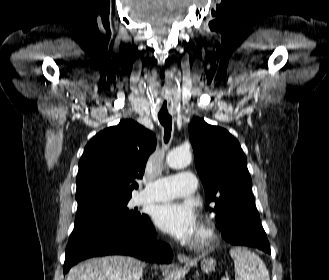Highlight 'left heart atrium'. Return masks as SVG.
I'll use <instances>...</instances> for the list:
<instances>
[{
	"label": "left heart atrium",
	"mask_w": 329,
	"mask_h": 280,
	"mask_svg": "<svg viewBox=\"0 0 329 280\" xmlns=\"http://www.w3.org/2000/svg\"><path fill=\"white\" fill-rule=\"evenodd\" d=\"M153 218L161 230L180 240L190 241L199 232L196 212L187 203L170 201L158 205Z\"/></svg>",
	"instance_id": "1"
}]
</instances>
